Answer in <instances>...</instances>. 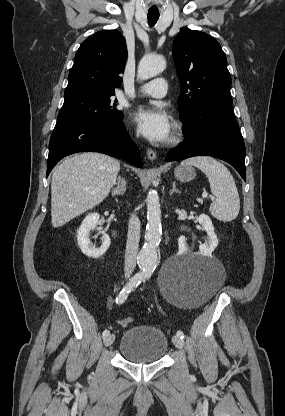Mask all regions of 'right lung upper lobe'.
I'll list each match as a JSON object with an SVG mask.
<instances>
[{
	"instance_id": "1",
	"label": "right lung upper lobe",
	"mask_w": 285,
	"mask_h": 416,
	"mask_svg": "<svg viewBox=\"0 0 285 416\" xmlns=\"http://www.w3.org/2000/svg\"><path fill=\"white\" fill-rule=\"evenodd\" d=\"M126 59V41L118 30L99 31L88 37L75 55L65 96L115 95Z\"/></svg>"
}]
</instances>
